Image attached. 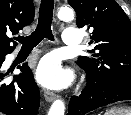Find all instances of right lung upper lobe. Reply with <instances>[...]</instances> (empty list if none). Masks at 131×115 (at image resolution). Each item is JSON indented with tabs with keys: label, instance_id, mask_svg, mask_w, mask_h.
<instances>
[{
	"label": "right lung upper lobe",
	"instance_id": "cb5924a9",
	"mask_svg": "<svg viewBox=\"0 0 131 115\" xmlns=\"http://www.w3.org/2000/svg\"><path fill=\"white\" fill-rule=\"evenodd\" d=\"M34 5L32 0H0V59L13 52V41L9 38L33 22Z\"/></svg>",
	"mask_w": 131,
	"mask_h": 115
}]
</instances>
